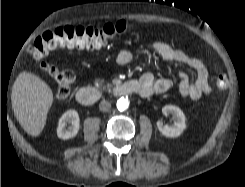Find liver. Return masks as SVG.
Masks as SVG:
<instances>
[{
    "instance_id": "liver-1",
    "label": "liver",
    "mask_w": 245,
    "mask_h": 187,
    "mask_svg": "<svg viewBox=\"0 0 245 187\" xmlns=\"http://www.w3.org/2000/svg\"><path fill=\"white\" fill-rule=\"evenodd\" d=\"M54 97L49 85L38 76L22 72L14 82L12 108L27 134L37 137L44 129Z\"/></svg>"
}]
</instances>
